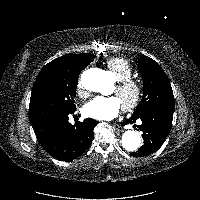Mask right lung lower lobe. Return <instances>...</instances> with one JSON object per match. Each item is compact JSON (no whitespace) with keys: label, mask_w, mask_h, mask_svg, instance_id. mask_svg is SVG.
I'll return each mask as SVG.
<instances>
[{"label":"right lung lower lobe","mask_w":200,"mask_h":200,"mask_svg":"<svg viewBox=\"0 0 200 200\" xmlns=\"http://www.w3.org/2000/svg\"><path fill=\"white\" fill-rule=\"evenodd\" d=\"M75 110L55 109L29 114L39 143L53 157L62 161L79 157L92 142L96 121L87 118L72 125L68 120Z\"/></svg>","instance_id":"1"}]
</instances>
